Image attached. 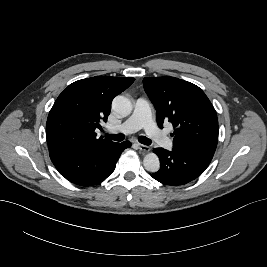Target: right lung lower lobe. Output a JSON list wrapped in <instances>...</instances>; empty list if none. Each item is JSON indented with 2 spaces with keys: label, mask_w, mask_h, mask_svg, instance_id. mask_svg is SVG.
<instances>
[{
  "label": "right lung lower lobe",
  "mask_w": 267,
  "mask_h": 267,
  "mask_svg": "<svg viewBox=\"0 0 267 267\" xmlns=\"http://www.w3.org/2000/svg\"><path fill=\"white\" fill-rule=\"evenodd\" d=\"M130 146L131 143L125 141L87 150L50 154V158L68 181L92 186L105 180L114 171L121 153Z\"/></svg>",
  "instance_id": "obj_1"
}]
</instances>
